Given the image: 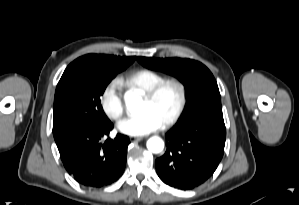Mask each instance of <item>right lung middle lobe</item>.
<instances>
[{"instance_id":"right-lung-middle-lobe-1","label":"right lung middle lobe","mask_w":299,"mask_h":205,"mask_svg":"<svg viewBox=\"0 0 299 205\" xmlns=\"http://www.w3.org/2000/svg\"><path fill=\"white\" fill-rule=\"evenodd\" d=\"M127 66H84L72 62L66 68L54 98L53 135L56 144L79 129L110 122L101 106L100 96L108 83Z\"/></svg>"}]
</instances>
